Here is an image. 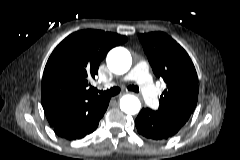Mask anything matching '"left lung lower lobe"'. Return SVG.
<instances>
[{
    "label": "left lung lower lobe",
    "mask_w": 240,
    "mask_h": 160,
    "mask_svg": "<svg viewBox=\"0 0 240 160\" xmlns=\"http://www.w3.org/2000/svg\"><path fill=\"white\" fill-rule=\"evenodd\" d=\"M135 126L140 135L153 141H166L182 128L150 108H143L140 111L135 120Z\"/></svg>",
    "instance_id": "left-lung-lower-lobe-1"
}]
</instances>
